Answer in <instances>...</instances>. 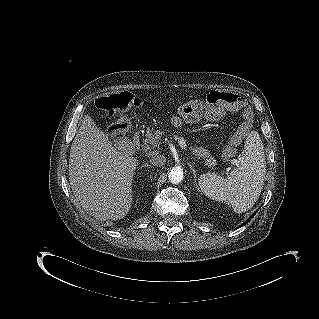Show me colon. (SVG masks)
<instances>
[{
  "label": "colon",
  "mask_w": 319,
  "mask_h": 319,
  "mask_svg": "<svg viewBox=\"0 0 319 319\" xmlns=\"http://www.w3.org/2000/svg\"><path fill=\"white\" fill-rule=\"evenodd\" d=\"M206 103L212 108H218L223 105L234 108L243 106L242 98L230 91H211L206 96ZM140 104V99L127 91L102 96L96 101V107L104 112L107 117H116V121L110 128V134L114 137L123 136L128 132L130 121L125 112L131 107H138ZM243 135L244 127H241L229 140L228 144L223 147V157L230 158L236 154L235 145L241 141Z\"/></svg>",
  "instance_id": "1"
}]
</instances>
